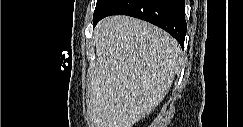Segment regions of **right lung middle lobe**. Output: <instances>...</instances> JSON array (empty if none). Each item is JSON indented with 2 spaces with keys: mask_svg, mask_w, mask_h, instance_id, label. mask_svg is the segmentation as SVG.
Masks as SVG:
<instances>
[{
  "mask_svg": "<svg viewBox=\"0 0 243 127\" xmlns=\"http://www.w3.org/2000/svg\"><path fill=\"white\" fill-rule=\"evenodd\" d=\"M107 1L108 0H97L94 15H96L103 8V6L107 3Z\"/></svg>",
  "mask_w": 243,
  "mask_h": 127,
  "instance_id": "1",
  "label": "right lung middle lobe"
}]
</instances>
